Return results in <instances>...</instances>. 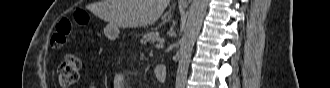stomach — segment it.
Segmentation results:
<instances>
[{"mask_svg":"<svg viewBox=\"0 0 330 88\" xmlns=\"http://www.w3.org/2000/svg\"><path fill=\"white\" fill-rule=\"evenodd\" d=\"M117 26L116 25H108L106 27V35L107 37L113 39L117 36Z\"/></svg>","mask_w":330,"mask_h":88,"instance_id":"obj_1","label":"stomach"}]
</instances>
